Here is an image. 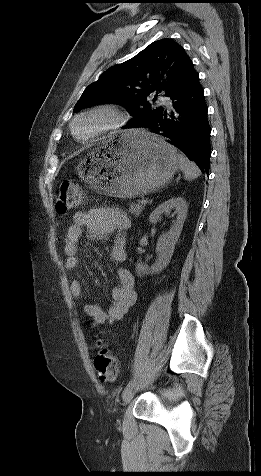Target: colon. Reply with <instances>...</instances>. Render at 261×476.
I'll return each mask as SVG.
<instances>
[{
    "mask_svg": "<svg viewBox=\"0 0 261 476\" xmlns=\"http://www.w3.org/2000/svg\"><path fill=\"white\" fill-rule=\"evenodd\" d=\"M82 191L78 183L65 180L61 183L56 200V209L59 213H67L82 202ZM99 350L94 358V366L98 378L102 382L114 381L119 372L118 361L111 350L99 342Z\"/></svg>",
    "mask_w": 261,
    "mask_h": 476,
    "instance_id": "1",
    "label": "colon"
}]
</instances>
